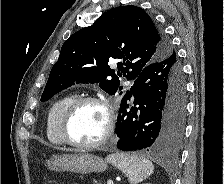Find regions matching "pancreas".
<instances>
[{
  "instance_id": "cf45deb5",
  "label": "pancreas",
  "mask_w": 224,
  "mask_h": 184,
  "mask_svg": "<svg viewBox=\"0 0 224 184\" xmlns=\"http://www.w3.org/2000/svg\"><path fill=\"white\" fill-rule=\"evenodd\" d=\"M93 184H100L98 181H94V183Z\"/></svg>"
}]
</instances>
